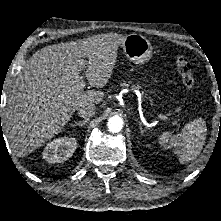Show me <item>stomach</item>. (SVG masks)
I'll use <instances>...</instances> for the list:
<instances>
[{
    "mask_svg": "<svg viewBox=\"0 0 221 221\" xmlns=\"http://www.w3.org/2000/svg\"><path fill=\"white\" fill-rule=\"evenodd\" d=\"M121 47L126 57L135 64H143L152 56L151 43L140 34L127 35Z\"/></svg>",
    "mask_w": 221,
    "mask_h": 221,
    "instance_id": "0dacf381",
    "label": "stomach"
}]
</instances>
